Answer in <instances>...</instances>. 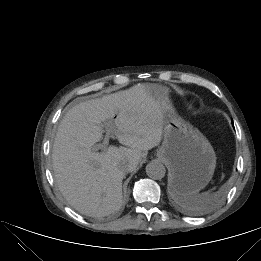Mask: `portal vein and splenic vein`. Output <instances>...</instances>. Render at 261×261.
<instances>
[{
  "label": "portal vein and splenic vein",
  "mask_w": 261,
  "mask_h": 261,
  "mask_svg": "<svg viewBox=\"0 0 261 261\" xmlns=\"http://www.w3.org/2000/svg\"><path fill=\"white\" fill-rule=\"evenodd\" d=\"M105 128H106V136L104 138V141L101 144H98L96 147V150L100 149L103 152L108 149L109 139L112 137V134L114 133L111 122L105 123Z\"/></svg>",
  "instance_id": "portal-vein-and-splenic-vein-1"
}]
</instances>
